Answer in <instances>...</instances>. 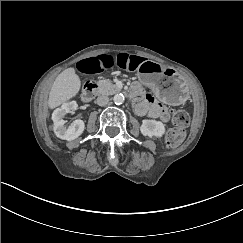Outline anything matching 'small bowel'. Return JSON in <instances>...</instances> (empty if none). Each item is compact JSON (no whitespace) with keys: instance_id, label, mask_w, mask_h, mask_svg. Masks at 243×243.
<instances>
[{"instance_id":"1","label":"small bowel","mask_w":243,"mask_h":243,"mask_svg":"<svg viewBox=\"0 0 243 243\" xmlns=\"http://www.w3.org/2000/svg\"><path fill=\"white\" fill-rule=\"evenodd\" d=\"M143 58L138 55L128 53H105L92 56L78 63V68L83 73H98L112 68H121L134 71L142 63ZM136 92L140 94L143 100L137 104L136 112L139 115L148 114L152 118H160L162 121L169 119L167 108L158 102L151 94L144 93L142 88L135 85Z\"/></svg>"}]
</instances>
